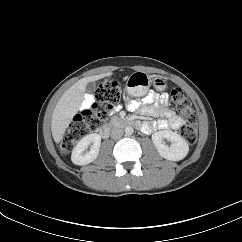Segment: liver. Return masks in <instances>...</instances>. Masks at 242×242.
Segmentation results:
<instances>
[{
  "label": "liver",
  "mask_w": 242,
  "mask_h": 242,
  "mask_svg": "<svg viewBox=\"0 0 242 242\" xmlns=\"http://www.w3.org/2000/svg\"><path fill=\"white\" fill-rule=\"evenodd\" d=\"M110 75L112 73L82 78L62 95L54 109L51 122L52 136L56 143H60L73 117L79 111L87 84Z\"/></svg>",
  "instance_id": "obj_1"
}]
</instances>
